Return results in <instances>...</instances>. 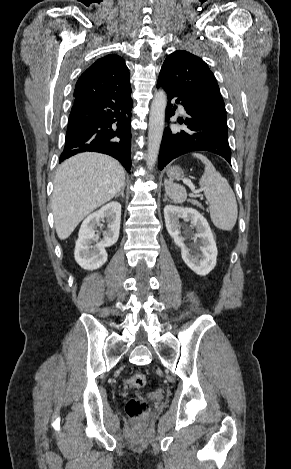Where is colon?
Masks as SVG:
<instances>
[{
    "instance_id": "colon-1",
    "label": "colon",
    "mask_w": 291,
    "mask_h": 469,
    "mask_svg": "<svg viewBox=\"0 0 291 469\" xmlns=\"http://www.w3.org/2000/svg\"><path fill=\"white\" fill-rule=\"evenodd\" d=\"M147 383V377L144 373L137 372L125 379L124 386L128 390H138ZM148 410V403L139 398H131L126 403V412L132 418H141Z\"/></svg>"
}]
</instances>
